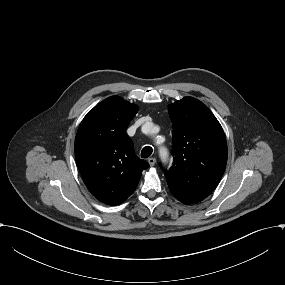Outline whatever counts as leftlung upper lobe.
I'll use <instances>...</instances> for the list:
<instances>
[{
  "mask_svg": "<svg viewBox=\"0 0 285 285\" xmlns=\"http://www.w3.org/2000/svg\"><path fill=\"white\" fill-rule=\"evenodd\" d=\"M173 125V165L165 177L171 193L193 204L206 198L221 179L227 163L223 129L199 100L185 97L168 107Z\"/></svg>",
  "mask_w": 285,
  "mask_h": 285,
  "instance_id": "1",
  "label": "left lung upper lobe"
}]
</instances>
